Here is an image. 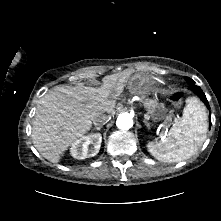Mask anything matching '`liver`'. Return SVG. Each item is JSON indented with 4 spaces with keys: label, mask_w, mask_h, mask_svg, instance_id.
<instances>
[{
    "label": "liver",
    "mask_w": 221,
    "mask_h": 221,
    "mask_svg": "<svg viewBox=\"0 0 221 221\" xmlns=\"http://www.w3.org/2000/svg\"><path fill=\"white\" fill-rule=\"evenodd\" d=\"M126 73L105 76L99 88L56 86L39 100L32 126V142L40 154L58 163L64 152L92 127L99 114H115L116 99Z\"/></svg>",
    "instance_id": "6515ba94"
}]
</instances>
